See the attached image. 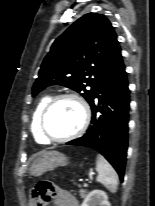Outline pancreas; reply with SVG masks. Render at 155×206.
Returning <instances> with one entry per match:
<instances>
[{
	"label": "pancreas",
	"instance_id": "obj_1",
	"mask_svg": "<svg viewBox=\"0 0 155 206\" xmlns=\"http://www.w3.org/2000/svg\"><path fill=\"white\" fill-rule=\"evenodd\" d=\"M79 193H80L81 198H84V197L86 196L87 190H85V189H80V190H79Z\"/></svg>",
	"mask_w": 155,
	"mask_h": 206
}]
</instances>
